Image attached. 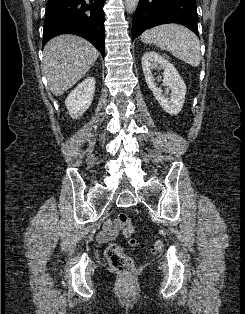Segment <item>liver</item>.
Instances as JSON below:
<instances>
[{"instance_id":"obj_1","label":"liver","mask_w":245,"mask_h":314,"mask_svg":"<svg viewBox=\"0 0 245 314\" xmlns=\"http://www.w3.org/2000/svg\"><path fill=\"white\" fill-rule=\"evenodd\" d=\"M43 72L51 92L60 96L94 65L98 50L76 35H60L44 47Z\"/></svg>"}]
</instances>
